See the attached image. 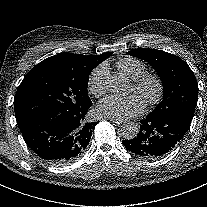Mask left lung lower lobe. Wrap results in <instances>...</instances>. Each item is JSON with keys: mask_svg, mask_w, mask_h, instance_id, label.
Wrapping results in <instances>:
<instances>
[{"mask_svg": "<svg viewBox=\"0 0 207 207\" xmlns=\"http://www.w3.org/2000/svg\"><path fill=\"white\" fill-rule=\"evenodd\" d=\"M138 135L123 140L129 151L149 159L164 156L184 137L190 124L176 115L151 116L141 121Z\"/></svg>", "mask_w": 207, "mask_h": 207, "instance_id": "1", "label": "left lung lower lobe"}]
</instances>
